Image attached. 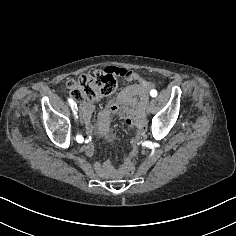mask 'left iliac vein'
I'll return each mask as SVG.
<instances>
[{
    "mask_svg": "<svg viewBox=\"0 0 236 236\" xmlns=\"http://www.w3.org/2000/svg\"><path fill=\"white\" fill-rule=\"evenodd\" d=\"M152 104H150L147 108H148V112L150 113L152 110L151 109H155V106H157V101H152Z\"/></svg>",
    "mask_w": 236,
    "mask_h": 236,
    "instance_id": "4c4485c4",
    "label": "left iliac vein"
}]
</instances>
